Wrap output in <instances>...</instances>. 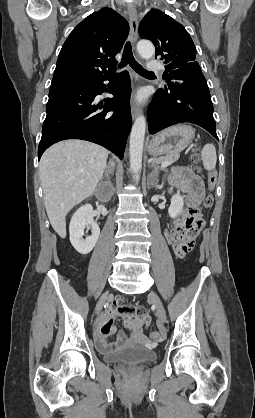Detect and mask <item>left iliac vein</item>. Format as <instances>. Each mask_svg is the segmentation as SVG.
Masks as SVG:
<instances>
[{
	"mask_svg": "<svg viewBox=\"0 0 255 418\" xmlns=\"http://www.w3.org/2000/svg\"><path fill=\"white\" fill-rule=\"evenodd\" d=\"M149 300L152 302V304L155 306L156 313L158 316V319L161 323L166 322V311L165 308L159 298V296L155 292L149 293Z\"/></svg>",
	"mask_w": 255,
	"mask_h": 418,
	"instance_id": "left-iliac-vein-1",
	"label": "left iliac vein"
}]
</instances>
